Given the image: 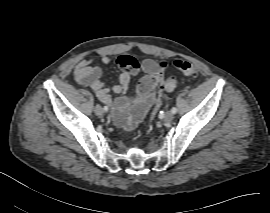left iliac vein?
Returning <instances> with one entry per match:
<instances>
[{
  "mask_svg": "<svg viewBox=\"0 0 270 213\" xmlns=\"http://www.w3.org/2000/svg\"><path fill=\"white\" fill-rule=\"evenodd\" d=\"M174 118V115L171 111H166L164 116H163V120L166 121V122H170L172 121Z\"/></svg>",
  "mask_w": 270,
  "mask_h": 213,
  "instance_id": "4c4485c4",
  "label": "left iliac vein"
}]
</instances>
